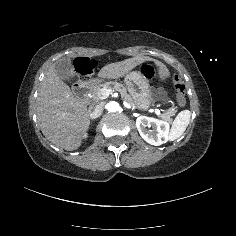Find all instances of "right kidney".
Here are the masks:
<instances>
[{
    "label": "right kidney",
    "mask_w": 236,
    "mask_h": 236,
    "mask_svg": "<svg viewBox=\"0 0 236 236\" xmlns=\"http://www.w3.org/2000/svg\"><path fill=\"white\" fill-rule=\"evenodd\" d=\"M86 137H87V135L85 134V135H84V138H86Z\"/></svg>",
    "instance_id": "obj_1"
}]
</instances>
